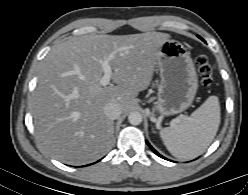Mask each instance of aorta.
Instances as JSON below:
<instances>
[{
	"label": "aorta",
	"instance_id": "aorta-1",
	"mask_svg": "<svg viewBox=\"0 0 248 195\" xmlns=\"http://www.w3.org/2000/svg\"><path fill=\"white\" fill-rule=\"evenodd\" d=\"M128 121L132 125H139L142 122V115L137 111H133L128 115Z\"/></svg>",
	"mask_w": 248,
	"mask_h": 195
}]
</instances>
